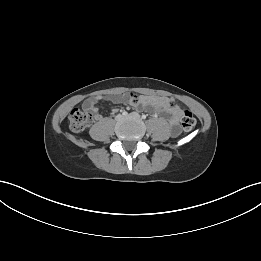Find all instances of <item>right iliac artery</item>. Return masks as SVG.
I'll list each match as a JSON object with an SVG mask.
<instances>
[{"instance_id": "1", "label": "right iliac artery", "mask_w": 261, "mask_h": 261, "mask_svg": "<svg viewBox=\"0 0 261 261\" xmlns=\"http://www.w3.org/2000/svg\"><path fill=\"white\" fill-rule=\"evenodd\" d=\"M122 115H123V116H127L128 113H127L126 111H123V112H122Z\"/></svg>"}]
</instances>
